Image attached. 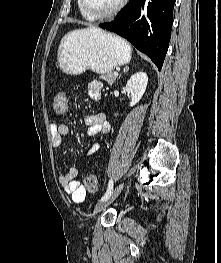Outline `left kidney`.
I'll return each instance as SVG.
<instances>
[{
  "label": "left kidney",
  "mask_w": 221,
  "mask_h": 263,
  "mask_svg": "<svg viewBox=\"0 0 221 263\" xmlns=\"http://www.w3.org/2000/svg\"><path fill=\"white\" fill-rule=\"evenodd\" d=\"M148 84V76L138 72L130 77L126 84L127 91L131 94L130 106L133 107L142 98Z\"/></svg>",
  "instance_id": "1"
}]
</instances>
